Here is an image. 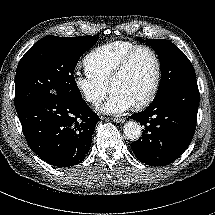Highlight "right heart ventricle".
I'll return each mask as SVG.
<instances>
[{"label":"right heart ventricle","instance_id":"right-heart-ventricle-1","mask_svg":"<svg viewBox=\"0 0 215 215\" xmlns=\"http://www.w3.org/2000/svg\"><path fill=\"white\" fill-rule=\"evenodd\" d=\"M137 44L116 40L91 50L83 59L85 72L107 84L119 59Z\"/></svg>","mask_w":215,"mask_h":215}]
</instances>
